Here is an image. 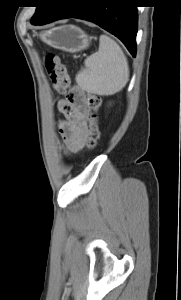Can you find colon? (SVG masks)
I'll return each mask as SVG.
<instances>
[{
    "label": "colon",
    "mask_w": 181,
    "mask_h": 300,
    "mask_svg": "<svg viewBox=\"0 0 181 300\" xmlns=\"http://www.w3.org/2000/svg\"><path fill=\"white\" fill-rule=\"evenodd\" d=\"M46 68L55 91L66 95L67 102L62 104L60 108V111L66 117H71L74 114V110L82 104L91 109L88 117L85 147L88 150H93L100 138L97 115L101 106L100 97L90 92H84L79 87L72 86L67 67L61 62L58 56L49 54L46 58Z\"/></svg>",
    "instance_id": "1"
}]
</instances>
